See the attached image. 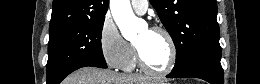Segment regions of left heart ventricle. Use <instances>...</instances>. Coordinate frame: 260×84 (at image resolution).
I'll list each match as a JSON object with an SVG mask.
<instances>
[{
    "mask_svg": "<svg viewBox=\"0 0 260 84\" xmlns=\"http://www.w3.org/2000/svg\"><path fill=\"white\" fill-rule=\"evenodd\" d=\"M135 44L139 47L145 63L150 68L162 70L167 66L170 49L166 38L162 34L144 30Z\"/></svg>",
    "mask_w": 260,
    "mask_h": 84,
    "instance_id": "1",
    "label": "left heart ventricle"
}]
</instances>
